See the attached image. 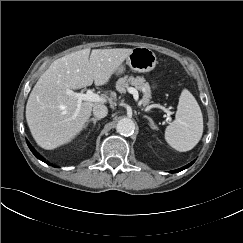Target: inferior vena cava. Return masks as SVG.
I'll list each match as a JSON object with an SVG mask.
<instances>
[{
	"label": "inferior vena cava",
	"mask_w": 243,
	"mask_h": 243,
	"mask_svg": "<svg viewBox=\"0 0 243 243\" xmlns=\"http://www.w3.org/2000/svg\"><path fill=\"white\" fill-rule=\"evenodd\" d=\"M93 114L95 117L101 119L108 114V109L105 105L99 104L93 107Z\"/></svg>",
	"instance_id": "602c4592"
}]
</instances>
